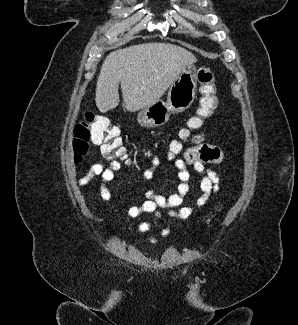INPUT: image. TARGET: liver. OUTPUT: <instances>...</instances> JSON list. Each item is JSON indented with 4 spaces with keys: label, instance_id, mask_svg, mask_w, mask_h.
<instances>
[{
    "label": "liver",
    "instance_id": "obj_1",
    "mask_svg": "<svg viewBox=\"0 0 298 325\" xmlns=\"http://www.w3.org/2000/svg\"><path fill=\"white\" fill-rule=\"evenodd\" d=\"M193 52L170 42H143L118 48L106 56L95 90L100 112L118 106L119 84L126 110L136 112L160 100L186 64H194Z\"/></svg>",
    "mask_w": 298,
    "mask_h": 325
}]
</instances>
